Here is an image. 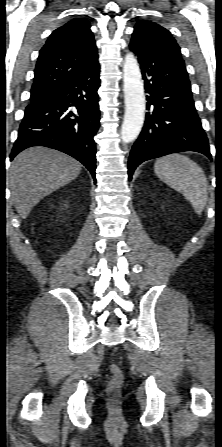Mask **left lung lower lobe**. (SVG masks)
I'll use <instances>...</instances> for the list:
<instances>
[{"label":"left lung lower lobe","instance_id":"1","mask_svg":"<svg viewBox=\"0 0 222 447\" xmlns=\"http://www.w3.org/2000/svg\"><path fill=\"white\" fill-rule=\"evenodd\" d=\"M130 49L138 57L145 81L148 112L128 160L129 180L142 162L170 153L196 151L211 158L184 62L133 37Z\"/></svg>","mask_w":222,"mask_h":447}]
</instances>
